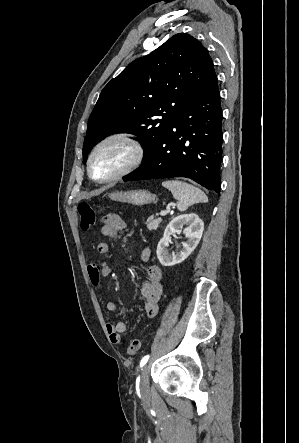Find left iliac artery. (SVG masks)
Returning a JSON list of instances; mask_svg holds the SVG:
<instances>
[{"mask_svg":"<svg viewBox=\"0 0 299 443\" xmlns=\"http://www.w3.org/2000/svg\"><path fill=\"white\" fill-rule=\"evenodd\" d=\"M149 355L144 356L140 361V367L142 368L149 360Z\"/></svg>","mask_w":299,"mask_h":443,"instance_id":"1","label":"left iliac artery"}]
</instances>
